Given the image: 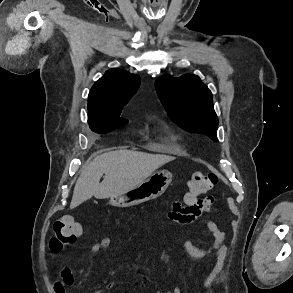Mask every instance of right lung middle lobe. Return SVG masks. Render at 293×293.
Returning a JSON list of instances; mask_svg holds the SVG:
<instances>
[{
	"mask_svg": "<svg viewBox=\"0 0 293 293\" xmlns=\"http://www.w3.org/2000/svg\"><path fill=\"white\" fill-rule=\"evenodd\" d=\"M120 114L118 112L111 115L88 118V123L92 131L96 133H107L128 122V120L120 118Z\"/></svg>",
	"mask_w": 293,
	"mask_h": 293,
	"instance_id": "1",
	"label": "right lung middle lobe"
}]
</instances>
